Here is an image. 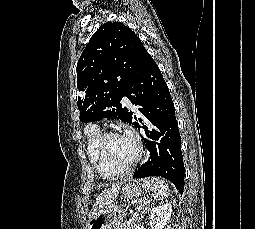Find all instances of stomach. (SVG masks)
Here are the masks:
<instances>
[{
	"mask_svg": "<svg viewBox=\"0 0 255 229\" xmlns=\"http://www.w3.org/2000/svg\"><path fill=\"white\" fill-rule=\"evenodd\" d=\"M155 179L126 182L121 189L124 198L141 196L145 192L154 190ZM125 211L117 204L107 206L103 211L91 217L87 223V229H115L116 225L124 219Z\"/></svg>",
	"mask_w": 255,
	"mask_h": 229,
	"instance_id": "obj_1",
	"label": "stomach"
}]
</instances>
